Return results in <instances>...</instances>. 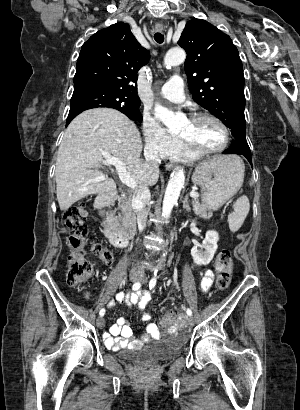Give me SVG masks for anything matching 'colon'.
Segmentation results:
<instances>
[{
    "instance_id": "obj_1",
    "label": "colon",
    "mask_w": 300,
    "mask_h": 410,
    "mask_svg": "<svg viewBox=\"0 0 300 410\" xmlns=\"http://www.w3.org/2000/svg\"><path fill=\"white\" fill-rule=\"evenodd\" d=\"M86 219L85 203L81 201L72 204L64 213V223L68 229V244L70 247V253L67 258V281L69 285L74 287L84 284L93 275V266L84 256L85 247L91 237ZM91 250L104 263H112L113 254L103 242H94ZM216 269L218 272L216 287L218 290H226L231 283L233 272L230 250L222 249L218 253ZM176 321L177 318L173 312H166L163 318L165 326L173 328Z\"/></svg>"
}]
</instances>
